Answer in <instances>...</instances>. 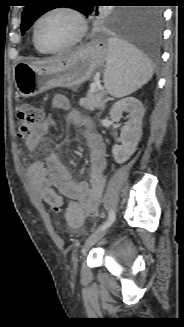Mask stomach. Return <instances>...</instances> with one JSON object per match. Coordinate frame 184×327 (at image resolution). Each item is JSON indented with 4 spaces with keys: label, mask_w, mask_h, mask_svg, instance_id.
Returning a JSON list of instances; mask_svg holds the SVG:
<instances>
[{
    "label": "stomach",
    "mask_w": 184,
    "mask_h": 327,
    "mask_svg": "<svg viewBox=\"0 0 184 327\" xmlns=\"http://www.w3.org/2000/svg\"><path fill=\"white\" fill-rule=\"evenodd\" d=\"M107 54L108 45L98 41L58 62L46 65L18 63L13 73L15 87L26 98L54 87L76 90L102 70Z\"/></svg>",
    "instance_id": "obj_1"
}]
</instances>
